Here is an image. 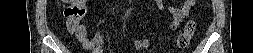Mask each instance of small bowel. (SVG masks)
I'll use <instances>...</instances> for the list:
<instances>
[{
  "mask_svg": "<svg viewBox=\"0 0 253 53\" xmlns=\"http://www.w3.org/2000/svg\"><path fill=\"white\" fill-rule=\"evenodd\" d=\"M194 3H195L194 0H185L181 8H174V7L168 8V11L172 15V21L170 25L172 29H175L180 25L181 21L188 14L189 10L194 5ZM75 35L84 44L85 48H90V41L87 38L86 25L81 24L79 28L75 31Z\"/></svg>",
  "mask_w": 253,
  "mask_h": 53,
  "instance_id": "small-bowel-1",
  "label": "small bowel"
}]
</instances>
